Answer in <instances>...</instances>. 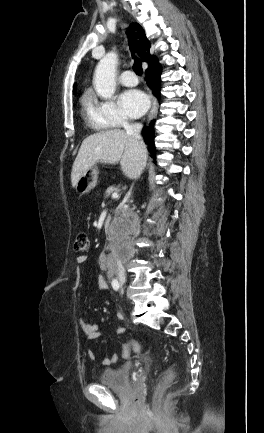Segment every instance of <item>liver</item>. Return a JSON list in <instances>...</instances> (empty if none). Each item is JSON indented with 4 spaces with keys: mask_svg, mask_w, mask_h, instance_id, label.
Wrapping results in <instances>:
<instances>
[{
    "mask_svg": "<svg viewBox=\"0 0 264 433\" xmlns=\"http://www.w3.org/2000/svg\"><path fill=\"white\" fill-rule=\"evenodd\" d=\"M147 161V150H140L138 142L120 129L102 131L90 135L81 144L73 163L71 184L75 187L79 178L95 163H120L121 170L128 178H136L143 171Z\"/></svg>",
    "mask_w": 264,
    "mask_h": 433,
    "instance_id": "1",
    "label": "liver"
}]
</instances>
